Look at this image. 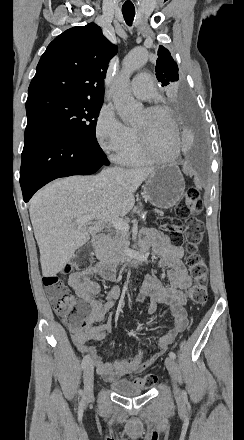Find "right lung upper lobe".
Listing matches in <instances>:
<instances>
[{
  "label": "right lung upper lobe",
  "instance_id": "right-lung-upper-lobe-1",
  "mask_svg": "<svg viewBox=\"0 0 244 440\" xmlns=\"http://www.w3.org/2000/svg\"><path fill=\"white\" fill-rule=\"evenodd\" d=\"M116 52L117 47L94 23L66 30L42 55L28 89V99H103L107 66Z\"/></svg>",
  "mask_w": 244,
  "mask_h": 440
}]
</instances>
